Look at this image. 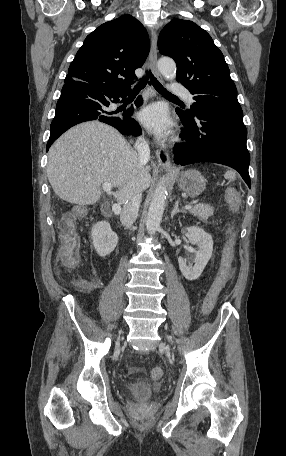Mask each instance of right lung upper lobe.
<instances>
[{"label":"right lung upper lobe","instance_id":"right-lung-upper-lobe-1","mask_svg":"<svg viewBox=\"0 0 286 456\" xmlns=\"http://www.w3.org/2000/svg\"><path fill=\"white\" fill-rule=\"evenodd\" d=\"M150 49L143 25L123 15L90 33L68 69L67 81L93 86L108 94L129 92Z\"/></svg>","mask_w":286,"mask_h":456}]
</instances>
